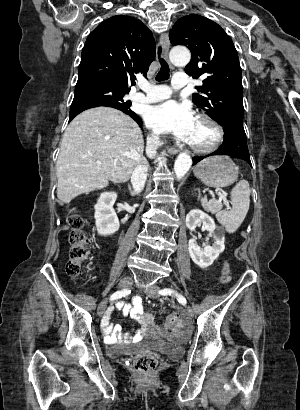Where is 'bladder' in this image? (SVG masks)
<instances>
[{"mask_svg": "<svg viewBox=\"0 0 300 410\" xmlns=\"http://www.w3.org/2000/svg\"><path fill=\"white\" fill-rule=\"evenodd\" d=\"M155 347L171 356H177L183 353V344L179 342H161L156 344ZM124 351H126L125 345L112 344L107 346V353L109 355L117 356Z\"/></svg>", "mask_w": 300, "mask_h": 410, "instance_id": "bladder-1", "label": "bladder"}]
</instances>
